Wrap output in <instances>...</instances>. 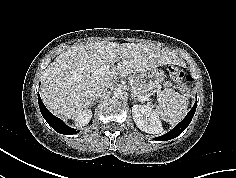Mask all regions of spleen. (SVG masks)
<instances>
[{"label": "spleen", "instance_id": "obj_1", "mask_svg": "<svg viewBox=\"0 0 236 178\" xmlns=\"http://www.w3.org/2000/svg\"><path fill=\"white\" fill-rule=\"evenodd\" d=\"M188 99L172 88H165L158 95L155 113L172 125L179 123L187 114Z\"/></svg>", "mask_w": 236, "mask_h": 178}]
</instances>
